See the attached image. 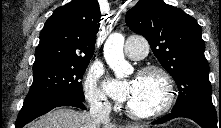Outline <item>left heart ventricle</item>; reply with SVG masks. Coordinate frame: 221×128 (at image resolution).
<instances>
[{"instance_id": "left-heart-ventricle-1", "label": "left heart ventricle", "mask_w": 221, "mask_h": 128, "mask_svg": "<svg viewBox=\"0 0 221 128\" xmlns=\"http://www.w3.org/2000/svg\"><path fill=\"white\" fill-rule=\"evenodd\" d=\"M163 85L159 77L147 75L137 79L136 89L127 104L136 111L152 108L154 103L162 98Z\"/></svg>"}]
</instances>
